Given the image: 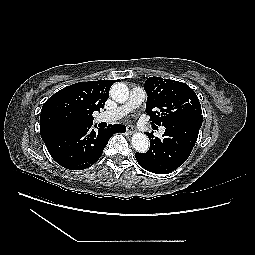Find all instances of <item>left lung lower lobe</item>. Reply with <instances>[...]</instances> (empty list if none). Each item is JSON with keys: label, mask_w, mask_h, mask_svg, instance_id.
<instances>
[{"label": "left lung lower lobe", "mask_w": 255, "mask_h": 255, "mask_svg": "<svg viewBox=\"0 0 255 255\" xmlns=\"http://www.w3.org/2000/svg\"><path fill=\"white\" fill-rule=\"evenodd\" d=\"M201 125L202 119L166 125L163 139L146 133L150 139V149L146 153L137 152V162L145 170L156 174L174 171L190 156Z\"/></svg>", "instance_id": "obj_1"}]
</instances>
